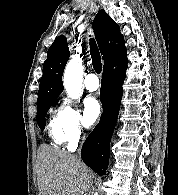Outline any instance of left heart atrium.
Returning a JSON list of instances; mask_svg holds the SVG:
<instances>
[{
  "instance_id": "obj_1",
  "label": "left heart atrium",
  "mask_w": 178,
  "mask_h": 195,
  "mask_svg": "<svg viewBox=\"0 0 178 195\" xmlns=\"http://www.w3.org/2000/svg\"><path fill=\"white\" fill-rule=\"evenodd\" d=\"M101 114V105L95 97H87L84 100V121L86 126L93 125Z\"/></svg>"
}]
</instances>
